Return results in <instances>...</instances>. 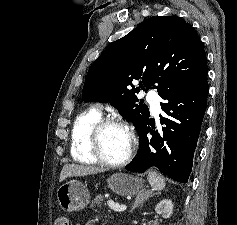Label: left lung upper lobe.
Wrapping results in <instances>:
<instances>
[{
  "mask_svg": "<svg viewBox=\"0 0 237 225\" xmlns=\"http://www.w3.org/2000/svg\"><path fill=\"white\" fill-rule=\"evenodd\" d=\"M207 74L206 53L194 28L177 16L150 17L94 61L82 96L87 102H109L138 131L149 110L137 103L136 93L156 88L161 96L194 87ZM134 80H141L138 87Z\"/></svg>",
  "mask_w": 237,
  "mask_h": 225,
  "instance_id": "left-lung-upper-lobe-1",
  "label": "left lung upper lobe"
}]
</instances>
